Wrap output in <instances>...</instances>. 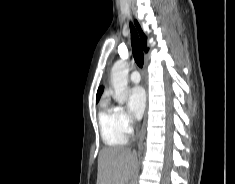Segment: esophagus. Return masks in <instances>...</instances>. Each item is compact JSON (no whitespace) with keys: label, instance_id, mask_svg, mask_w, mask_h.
Wrapping results in <instances>:
<instances>
[{"label":"esophagus","instance_id":"1","mask_svg":"<svg viewBox=\"0 0 235 184\" xmlns=\"http://www.w3.org/2000/svg\"><path fill=\"white\" fill-rule=\"evenodd\" d=\"M147 113H148V103H146L144 119H143V125H142V131H141V135L139 137L138 153H140L143 149V140H144V136H145V133H146V125H147Z\"/></svg>","mask_w":235,"mask_h":184}]
</instances>
